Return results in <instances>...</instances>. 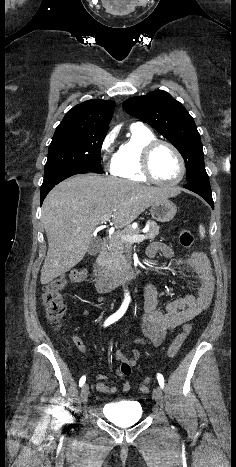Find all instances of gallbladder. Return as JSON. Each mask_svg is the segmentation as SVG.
Masks as SVG:
<instances>
[{
    "instance_id": "obj_1",
    "label": "gallbladder",
    "mask_w": 236,
    "mask_h": 467,
    "mask_svg": "<svg viewBox=\"0 0 236 467\" xmlns=\"http://www.w3.org/2000/svg\"><path fill=\"white\" fill-rule=\"evenodd\" d=\"M101 250V239L93 238L88 245L87 252L89 255L93 256L100 252Z\"/></svg>"
}]
</instances>
